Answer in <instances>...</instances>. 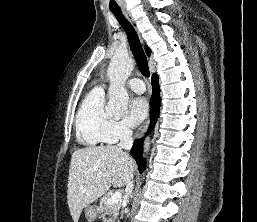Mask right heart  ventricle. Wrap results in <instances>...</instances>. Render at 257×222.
I'll return each instance as SVG.
<instances>
[{
  "label": "right heart ventricle",
  "mask_w": 257,
  "mask_h": 222,
  "mask_svg": "<svg viewBox=\"0 0 257 222\" xmlns=\"http://www.w3.org/2000/svg\"><path fill=\"white\" fill-rule=\"evenodd\" d=\"M111 121L105 110L103 89L91 90L83 99L76 115L75 129L78 142L88 147L108 143L106 130Z\"/></svg>",
  "instance_id": "right-heart-ventricle-1"
}]
</instances>
